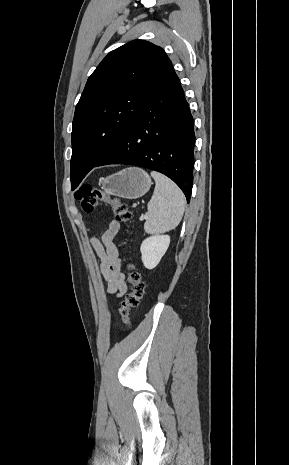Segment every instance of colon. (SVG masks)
Wrapping results in <instances>:
<instances>
[{"label":"colon","mask_w":289,"mask_h":465,"mask_svg":"<svg viewBox=\"0 0 289 465\" xmlns=\"http://www.w3.org/2000/svg\"><path fill=\"white\" fill-rule=\"evenodd\" d=\"M74 196L76 200L80 202L82 210L86 213L92 212L100 203H107L112 206L115 218L118 222L128 225L131 220L132 213L125 203L105 194L96 186L85 184L74 192ZM124 271L131 291L121 302L119 314L122 322L127 327H131L130 315L132 310L137 308L140 304L144 294L145 284L133 263H126Z\"/></svg>","instance_id":"obj_1"}]
</instances>
